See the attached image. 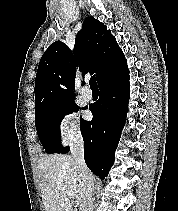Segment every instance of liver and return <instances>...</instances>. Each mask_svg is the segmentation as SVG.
<instances>
[{
	"mask_svg": "<svg viewBox=\"0 0 178 211\" xmlns=\"http://www.w3.org/2000/svg\"><path fill=\"white\" fill-rule=\"evenodd\" d=\"M40 189L45 211H74L67 192L74 194L77 206L83 202L82 180L69 155L52 154L38 161Z\"/></svg>",
	"mask_w": 178,
	"mask_h": 211,
	"instance_id": "liver-1",
	"label": "liver"
}]
</instances>
